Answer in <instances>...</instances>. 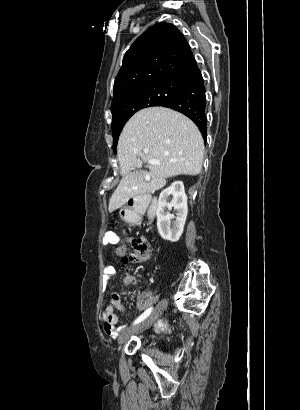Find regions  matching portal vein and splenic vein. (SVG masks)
Returning a JSON list of instances; mask_svg holds the SVG:
<instances>
[{"mask_svg": "<svg viewBox=\"0 0 300 410\" xmlns=\"http://www.w3.org/2000/svg\"><path fill=\"white\" fill-rule=\"evenodd\" d=\"M149 164H160V162L156 159L149 160Z\"/></svg>", "mask_w": 300, "mask_h": 410, "instance_id": "18ae733b", "label": "portal vein and splenic vein"}]
</instances>
